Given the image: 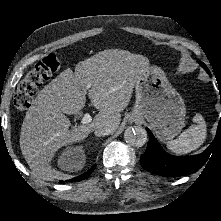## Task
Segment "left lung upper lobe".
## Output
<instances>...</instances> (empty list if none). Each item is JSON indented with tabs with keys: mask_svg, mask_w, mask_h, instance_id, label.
Here are the masks:
<instances>
[{
	"mask_svg": "<svg viewBox=\"0 0 221 221\" xmlns=\"http://www.w3.org/2000/svg\"><path fill=\"white\" fill-rule=\"evenodd\" d=\"M200 65H201L203 68L206 69V67H205V65H204L203 63L200 62Z\"/></svg>",
	"mask_w": 221,
	"mask_h": 221,
	"instance_id": "obj_1",
	"label": "left lung upper lobe"
}]
</instances>
